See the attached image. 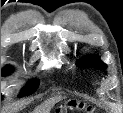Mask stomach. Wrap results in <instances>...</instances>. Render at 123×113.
Returning <instances> with one entry per match:
<instances>
[{"label":"stomach","mask_w":123,"mask_h":113,"mask_svg":"<svg viewBox=\"0 0 123 113\" xmlns=\"http://www.w3.org/2000/svg\"><path fill=\"white\" fill-rule=\"evenodd\" d=\"M80 102L77 100H70L68 102H66L65 104H61L58 105L56 107L57 112L62 113L63 111H67V109L69 110H79L80 106H79Z\"/></svg>","instance_id":"stomach-1"}]
</instances>
